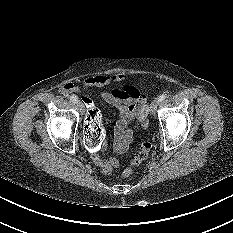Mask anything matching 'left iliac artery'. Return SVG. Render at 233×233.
Masks as SVG:
<instances>
[{"label":"left iliac artery","mask_w":233,"mask_h":233,"mask_svg":"<svg viewBox=\"0 0 233 233\" xmlns=\"http://www.w3.org/2000/svg\"><path fill=\"white\" fill-rule=\"evenodd\" d=\"M165 98H166V96H165L164 94H162V95H160V96L158 97V100H159V102H161V101H163Z\"/></svg>","instance_id":"left-iliac-artery-1"}]
</instances>
